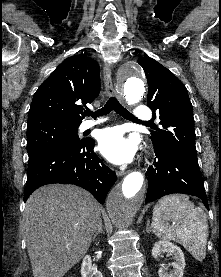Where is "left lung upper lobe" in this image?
Listing matches in <instances>:
<instances>
[{
	"instance_id": "obj_1",
	"label": "left lung upper lobe",
	"mask_w": 221,
	"mask_h": 277,
	"mask_svg": "<svg viewBox=\"0 0 221 277\" xmlns=\"http://www.w3.org/2000/svg\"><path fill=\"white\" fill-rule=\"evenodd\" d=\"M147 76V106L158 116L163 129L152 131L155 151L169 150L198 164L193 108L185 85L156 60L139 58Z\"/></svg>"
}]
</instances>
